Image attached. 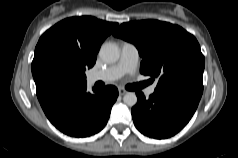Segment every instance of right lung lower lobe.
Here are the masks:
<instances>
[{
  "label": "right lung lower lobe",
  "instance_id": "right-lung-lower-lobe-1",
  "mask_svg": "<svg viewBox=\"0 0 238 158\" xmlns=\"http://www.w3.org/2000/svg\"><path fill=\"white\" fill-rule=\"evenodd\" d=\"M37 97L50 122L73 137L93 135L106 125L112 105L118 97L115 86L93 88L87 84H70L52 79L36 81Z\"/></svg>",
  "mask_w": 238,
  "mask_h": 158
}]
</instances>
